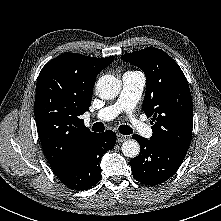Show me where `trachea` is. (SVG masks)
Masks as SVG:
<instances>
[{"mask_svg":"<svg viewBox=\"0 0 221 221\" xmlns=\"http://www.w3.org/2000/svg\"><path fill=\"white\" fill-rule=\"evenodd\" d=\"M104 129H105L104 124L101 122H97L93 125V131L95 132H103ZM119 131L124 135H130L133 132V130L128 125H121L119 127Z\"/></svg>","mask_w":221,"mask_h":221,"instance_id":"1","label":"trachea"}]
</instances>
